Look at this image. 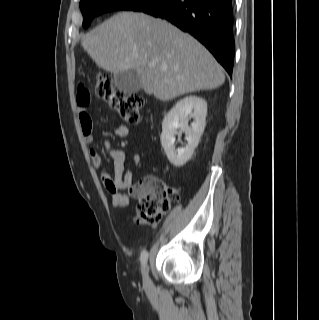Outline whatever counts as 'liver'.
Returning a JSON list of instances; mask_svg holds the SVG:
<instances>
[{"label": "liver", "instance_id": "1", "mask_svg": "<svg viewBox=\"0 0 319 320\" xmlns=\"http://www.w3.org/2000/svg\"><path fill=\"white\" fill-rule=\"evenodd\" d=\"M82 47L107 72H135L145 93L162 101L215 89L225 81L222 67L202 44L143 13L114 15L89 32Z\"/></svg>", "mask_w": 319, "mask_h": 320}]
</instances>
